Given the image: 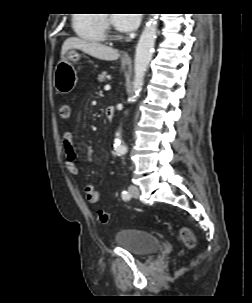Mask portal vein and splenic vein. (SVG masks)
Returning <instances> with one entry per match:
<instances>
[{
	"label": "portal vein and splenic vein",
	"instance_id": "18ae733b",
	"mask_svg": "<svg viewBox=\"0 0 252 303\" xmlns=\"http://www.w3.org/2000/svg\"><path fill=\"white\" fill-rule=\"evenodd\" d=\"M110 89H111L110 85H108V84L105 85V87H104V90H105V91H108V90H110Z\"/></svg>",
	"mask_w": 252,
	"mask_h": 303
}]
</instances>
